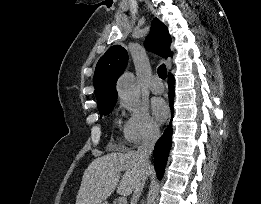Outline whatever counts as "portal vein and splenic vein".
I'll return each mask as SVG.
<instances>
[{"label": "portal vein and splenic vein", "instance_id": "1", "mask_svg": "<svg viewBox=\"0 0 261 204\" xmlns=\"http://www.w3.org/2000/svg\"><path fill=\"white\" fill-rule=\"evenodd\" d=\"M118 204H127V199L124 196L119 197Z\"/></svg>", "mask_w": 261, "mask_h": 204}]
</instances>
